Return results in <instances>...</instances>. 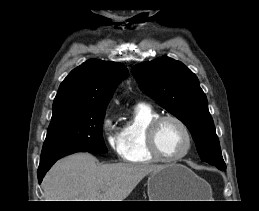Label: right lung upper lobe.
<instances>
[{
  "instance_id": "obj_1",
  "label": "right lung upper lobe",
  "mask_w": 259,
  "mask_h": 211,
  "mask_svg": "<svg viewBox=\"0 0 259 211\" xmlns=\"http://www.w3.org/2000/svg\"><path fill=\"white\" fill-rule=\"evenodd\" d=\"M128 74L127 68L120 63L86 61L61 83L53 102L52 117L75 108H106L116 85Z\"/></svg>"
}]
</instances>
